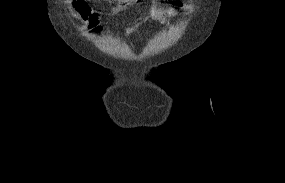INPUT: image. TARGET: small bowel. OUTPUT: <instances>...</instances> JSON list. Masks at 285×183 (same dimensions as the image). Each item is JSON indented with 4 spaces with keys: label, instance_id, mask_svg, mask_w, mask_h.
<instances>
[{
    "label": "small bowel",
    "instance_id": "obj_1",
    "mask_svg": "<svg viewBox=\"0 0 285 183\" xmlns=\"http://www.w3.org/2000/svg\"><path fill=\"white\" fill-rule=\"evenodd\" d=\"M116 3L113 5V7L110 10L111 15H116L120 12L125 11L128 6L132 2H136L137 0H115ZM152 7L149 10V12L140 20L134 22L133 24L129 25L125 28L124 34L125 35H131L135 33L143 23L148 21H160L162 23H167V20L169 18H174L178 16V10L174 6H163L157 0H151ZM175 6L181 7L182 4H175Z\"/></svg>",
    "mask_w": 285,
    "mask_h": 183
}]
</instances>
